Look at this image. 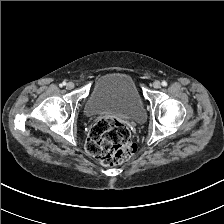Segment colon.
Here are the masks:
<instances>
[{
  "mask_svg": "<svg viewBox=\"0 0 224 224\" xmlns=\"http://www.w3.org/2000/svg\"><path fill=\"white\" fill-rule=\"evenodd\" d=\"M89 155L103 165H118L135 151L130 129L115 118H101L92 127L86 144Z\"/></svg>",
  "mask_w": 224,
  "mask_h": 224,
  "instance_id": "obj_1",
  "label": "colon"
}]
</instances>
